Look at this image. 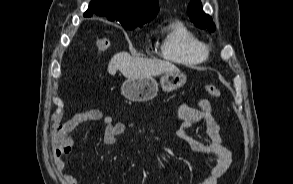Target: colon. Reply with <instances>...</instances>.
Here are the masks:
<instances>
[{"label":"colon","mask_w":293,"mask_h":184,"mask_svg":"<svg viewBox=\"0 0 293 184\" xmlns=\"http://www.w3.org/2000/svg\"><path fill=\"white\" fill-rule=\"evenodd\" d=\"M110 42L106 37H98L94 40L93 48L97 52H103L108 49ZM204 91L212 97H220L221 92L219 88L212 84L204 85ZM72 147V141L68 136V133L64 132L61 128L59 130L58 139L56 142L55 151L57 155H66L70 152Z\"/></svg>","instance_id":"1"}]
</instances>
